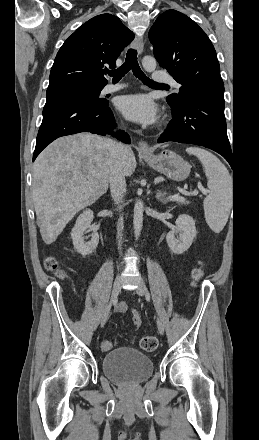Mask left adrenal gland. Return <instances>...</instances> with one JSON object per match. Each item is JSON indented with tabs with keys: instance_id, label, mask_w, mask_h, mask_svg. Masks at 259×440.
Segmentation results:
<instances>
[{
	"instance_id": "a2214340",
	"label": "left adrenal gland",
	"mask_w": 259,
	"mask_h": 440,
	"mask_svg": "<svg viewBox=\"0 0 259 440\" xmlns=\"http://www.w3.org/2000/svg\"><path fill=\"white\" fill-rule=\"evenodd\" d=\"M166 195H167L166 191L158 190V192L156 193V199L161 203H166L167 202Z\"/></svg>"
}]
</instances>
